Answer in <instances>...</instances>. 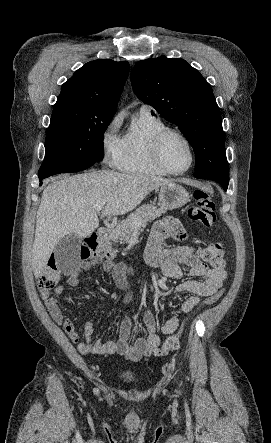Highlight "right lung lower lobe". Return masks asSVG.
<instances>
[{
	"instance_id": "1",
	"label": "right lung lower lobe",
	"mask_w": 271,
	"mask_h": 443,
	"mask_svg": "<svg viewBox=\"0 0 271 443\" xmlns=\"http://www.w3.org/2000/svg\"><path fill=\"white\" fill-rule=\"evenodd\" d=\"M89 166H79V167H63V168H57L51 171H47V172H43V173H39V180H40V185H42V180L50 177L52 175L55 174H59V173H71V172H78L84 169H87Z\"/></svg>"
}]
</instances>
